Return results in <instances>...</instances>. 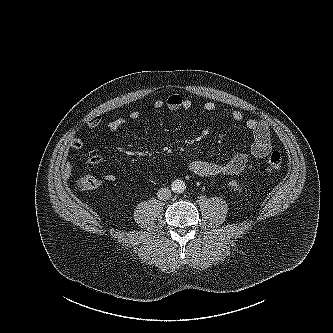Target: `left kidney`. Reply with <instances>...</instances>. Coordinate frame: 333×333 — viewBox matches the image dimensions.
Masks as SVG:
<instances>
[{"label":"left kidney","instance_id":"5707ae66","mask_svg":"<svg viewBox=\"0 0 333 333\" xmlns=\"http://www.w3.org/2000/svg\"><path fill=\"white\" fill-rule=\"evenodd\" d=\"M229 186H231V188H234V190H239V184L233 180L229 183Z\"/></svg>","mask_w":333,"mask_h":333}]
</instances>
